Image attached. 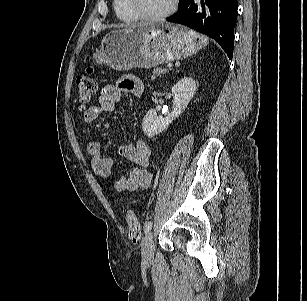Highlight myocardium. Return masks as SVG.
Listing matches in <instances>:
<instances>
[{"mask_svg": "<svg viewBox=\"0 0 307 301\" xmlns=\"http://www.w3.org/2000/svg\"><path fill=\"white\" fill-rule=\"evenodd\" d=\"M128 4L132 12L138 19L145 21H159L168 18L169 16H171L176 12L179 5V0H172L170 7L167 10L158 14L143 13L139 8L136 0H128Z\"/></svg>", "mask_w": 307, "mask_h": 301, "instance_id": "myocardium-1", "label": "myocardium"}]
</instances>
